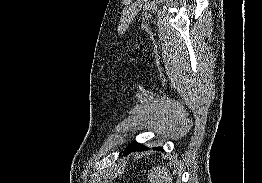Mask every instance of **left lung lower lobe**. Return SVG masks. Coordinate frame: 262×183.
Here are the masks:
<instances>
[{"instance_id":"obj_1","label":"left lung lower lobe","mask_w":262,"mask_h":183,"mask_svg":"<svg viewBox=\"0 0 262 183\" xmlns=\"http://www.w3.org/2000/svg\"><path fill=\"white\" fill-rule=\"evenodd\" d=\"M143 150V149H147L146 147H144L142 144H139L137 143L136 141H133L128 147L127 149L125 150L124 154L127 155L129 154L130 152L132 151H135V150ZM154 149H161V147H158V148H154Z\"/></svg>"}]
</instances>
